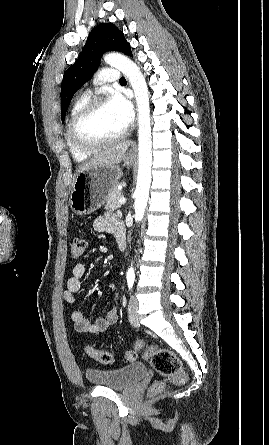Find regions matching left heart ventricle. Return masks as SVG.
<instances>
[{
	"label": "left heart ventricle",
	"mask_w": 269,
	"mask_h": 445,
	"mask_svg": "<svg viewBox=\"0 0 269 445\" xmlns=\"http://www.w3.org/2000/svg\"><path fill=\"white\" fill-rule=\"evenodd\" d=\"M126 127L112 108L105 103L92 113L80 126V135L89 141L113 137Z\"/></svg>",
	"instance_id": "obj_1"
}]
</instances>
